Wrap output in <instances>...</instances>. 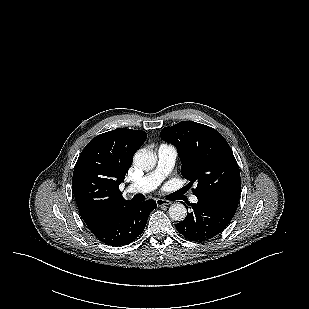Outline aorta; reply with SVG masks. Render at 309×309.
<instances>
[{"label": "aorta", "instance_id": "762f6f07", "mask_svg": "<svg viewBox=\"0 0 309 309\" xmlns=\"http://www.w3.org/2000/svg\"><path fill=\"white\" fill-rule=\"evenodd\" d=\"M156 163V156L146 149L138 150L134 155V164L144 170L150 171ZM169 216L174 221H183L186 217V207L181 203H174L169 207Z\"/></svg>", "mask_w": 309, "mask_h": 309}]
</instances>
